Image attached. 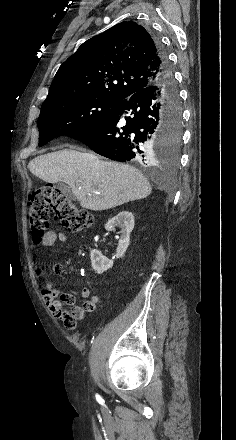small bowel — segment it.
I'll use <instances>...</instances> for the list:
<instances>
[{"label":"small bowel","instance_id":"1","mask_svg":"<svg viewBox=\"0 0 236 440\" xmlns=\"http://www.w3.org/2000/svg\"><path fill=\"white\" fill-rule=\"evenodd\" d=\"M67 242V235L63 232L48 231L43 239L42 246L46 248L54 247L57 243L64 244ZM42 298L48 306L50 312L61 321L66 314L70 315L75 321H64V330H78L79 324L77 320H81L87 313L95 310L99 301L98 296L91 295L88 287H83L79 292H61L58 294L63 302L57 301L54 296L43 286L41 290ZM83 298V306H73L71 311H66L63 305H73L76 297Z\"/></svg>","mask_w":236,"mask_h":440}]
</instances>
